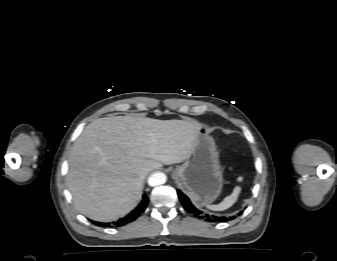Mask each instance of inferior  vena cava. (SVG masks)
I'll return each mask as SVG.
<instances>
[{"mask_svg":"<svg viewBox=\"0 0 337 261\" xmlns=\"http://www.w3.org/2000/svg\"><path fill=\"white\" fill-rule=\"evenodd\" d=\"M148 173V170H144L142 173H141V178H144L146 176V174Z\"/></svg>","mask_w":337,"mask_h":261,"instance_id":"obj_1","label":"inferior vena cava"}]
</instances>
